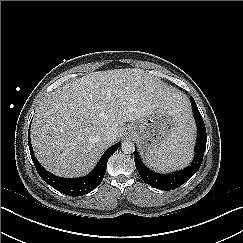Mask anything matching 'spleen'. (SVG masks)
<instances>
[{
	"mask_svg": "<svg viewBox=\"0 0 243 243\" xmlns=\"http://www.w3.org/2000/svg\"><path fill=\"white\" fill-rule=\"evenodd\" d=\"M193 132L191 128L178 127L169 141L154 153L145 155L146 162L161 171H172L187 166L193 156Z\"/></svg>",
	"mask_w": 243,
	"mask_h": 243,
	"instance_id": "obj_1",
	"label": "spleen"
}]
</instances>
